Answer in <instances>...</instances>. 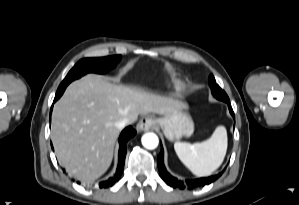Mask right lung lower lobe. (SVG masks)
<instances>
[{"mask_svg": "<svg viewBox=\"0 0 299 205\" xmlns=\"http://www.w3.org/2000/svg\"><path fill=\"white\" fill-rule=\"evenodd\" d=\"M59 98L55 97L54 102ZM135 134H136V131L131 126L125 128L122 131V133L119 137V154H118L119 159H118V166H117L116 173L114 174V176L110 177L108 180L100 182V184H99L100 188H108V187L114 185L119 180V178L123 172V167H124V163H125L126 143Z\"/></svg>", "mask_w": 299, "mask_h": 205, "instance_id": "right-lung-lower-lobe-1", "label": "right lung lower lobe"}]
</instances>
